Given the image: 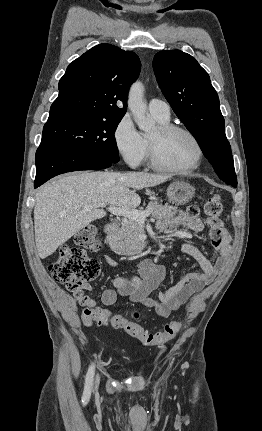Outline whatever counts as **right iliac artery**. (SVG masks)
Wrapping results in <instances>:
<instances>
[{
	"instance_id": "right-iliac-artery-1",
	"label": "right iliac artery",
	"mask_w": 262,
	"mask_h": 431,
	"mask_svg": "<svg viewBox=\"0 0 262 431\" xmlns=\"http://www.w3.org/2000/svg\"><path fill=\"white\" fill-rule=\"evenodd\" d=\"M94 371H95V368L93 365H91L89 367L87 375H86V384H85V389H84V393H83V399L84 400H88L90 398L91 388H92V383H93V377H94Z\"/></svg>"
}]
</instances>
